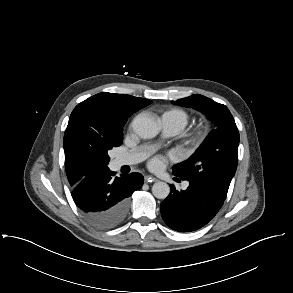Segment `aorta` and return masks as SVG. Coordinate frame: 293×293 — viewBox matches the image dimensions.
Returning a JSON list of instances; mask_svg holds the SVG:
<instances>
[{
	"label": "aorta",
	"instance_id": "aorta-1",
	"mask_svg": "<svg viewBox=\"0 0 293 293\" xmlns=\"http://www.w3.org/2000/svg\"><path fill=\"white\" fill-rule=\"evenodd\" d=\"M132 128L134 132L143 139H151L157 136L160 131L158 122L146 115L139 114L132 121ZM153 195L158 199H165L170 193V187L167 183L158 181L152 187Z\"/></svg>",
	"mask_w": 293,
	"mask_h": 293
}]
</instances>
